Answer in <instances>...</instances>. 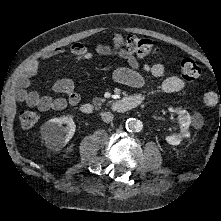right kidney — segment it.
Masks as SVG:
<instances>
[{"mask_svg": "<svg viewBox=\"0 0 221 221\" xmlns=\"http://www.w3.org/2000/svg\"><path fill=\"white\" fill-rule=\"evenodd\" d=\"M62 124H67L63 127ZM76 125L71 116H62L48 120L42 125L41 133L49 149L59 150L73 137Z\"/></svg>", "mask_w": 221, "mask_h": 221, "instance_id": "ca27d5eb", "label": "right kidney"}]
</instances>
